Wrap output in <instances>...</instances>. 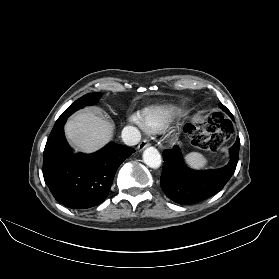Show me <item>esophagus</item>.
Masks as SVG:
<instances>
[{
    "mask_svg": "<svg viewBox=\"0 0 279 279\" xmlns=\"http://www.w3.org/2000/svg\"><path fill=\"white\" fill-rule=\"evenodd\" d=\"M150 145V143L147 140H143L140 142V144L138 145V150L142 151L144 150L146 147H148Z\"/></svg>",
    "mask_w": 279,
    "mask_h": 279,
    "instance_id": "esophagus-1",
    "label": "esophagus"
}]
</instances>
